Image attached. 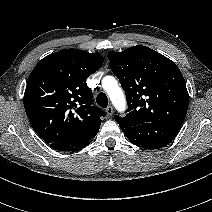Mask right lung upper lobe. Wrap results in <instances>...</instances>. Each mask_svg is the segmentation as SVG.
<instances>
[{
	"label": "right lung upper lobe",
	"mask_w": 212,
	"mask_h": 212,
	"mask_svg": "<svg viewBox=\"0 0 212 212\" xmlns=\"http://www.w3.org/2000/svg\"><path fill=\"white\" fill-rule=\"evenodd\" d=\"M102 64L100 53L67 49L46 56L34 67L24 107L32 127L46 143L95 137L103 112L92 106L86 79Z\"/></svg>",
	"instance_id": "cb5924a9"
}]
</instances>
